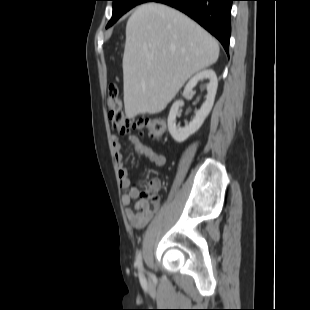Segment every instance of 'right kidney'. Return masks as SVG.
Wrapping results in <instances>:
<instances>
[{
	"label": "right kidney",
	"mask_w": 310,
	"mask_h": 310,
	"mask_svg": "<svg viewBox=\"0 0 310 310\" xmlns=\"http://www.w3.org/2000/svg\"><path fill=\"white\" fill-rule=\"evenodd\" d=\"M203 79H209L210 81L207 86L206 101L201 108L195 112V117L189 122V124H186L183 128L176 125V116L179 113L180 106L183 105L182 101L178 100L174 102L170 109L168 116V130L173 139L178 143L185 141L189 136L199 130L213 107L218 81L217 76L212 69H204L196 73L186 84L183 96L189 95L197 83Z\"/></svg>",
	"instance_id": "obj_1"
}]
</instances>
